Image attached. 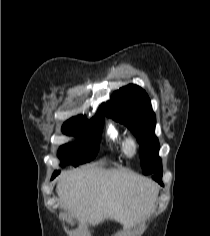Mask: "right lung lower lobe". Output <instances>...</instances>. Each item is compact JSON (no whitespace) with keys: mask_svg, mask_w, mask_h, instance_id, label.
<instances>
[{"mask_svg":"<svg viewBox=\"0 0 210 236\" xmlns=\"http://www.w3.org/2000/svg\"><path fill=\"white\" fill-rule=\"evenodd\" d=\"M58 174H59V171H55L52 178H54V177L57 176Z\"/></svg>","mask_w":210,"mask_h":236,"instance_id":"1","label":"right lung lower lobe"}]
</instances>
